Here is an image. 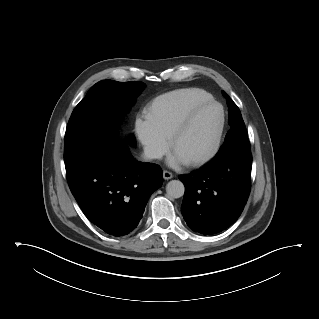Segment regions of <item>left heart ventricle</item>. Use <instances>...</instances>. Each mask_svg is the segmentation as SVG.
<instances>
[{
  "label": "left heart ventricle",
  "instance_id": "left-heart-ventricle-1",
  "mask_svg": "<svg viewBox=\"0 0 319 319\" xmlns=\"http://www.w3.org/2000/svg\"><path fill=\"white\" fill-rule=\"evenodd\" d=\"M220 120L218 106L209 105L200 110L190 128L175 143L174 153L185 162L208 154L215 145Z\"/></svg>",
  "mask_w": 319,
  "mask_h": 319
}]
</instances>
